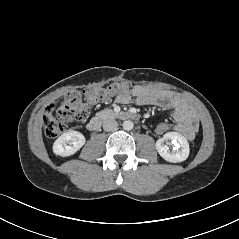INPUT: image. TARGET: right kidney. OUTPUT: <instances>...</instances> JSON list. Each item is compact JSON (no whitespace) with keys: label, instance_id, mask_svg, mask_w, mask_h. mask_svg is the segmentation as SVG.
I'll return each instance as SVG.
<instances>
[{"label":"right kidney","instance_id":"right-kidney-1","mask_svg":"<svg viewBox=\"0 0 239 239\" xmlns=\"http://www.w3.org/2000/svg\"><path fill=\"white\" fill-rule=\"evenodd\" d=\"M84 135L78 131L63 133L53 144L56 155L66 157L75 154L85 144Z\"/></svg>","mask_w":239,"mask_h":239}]
</instances>
